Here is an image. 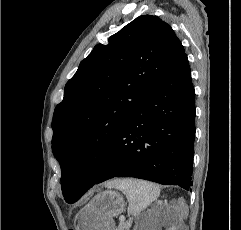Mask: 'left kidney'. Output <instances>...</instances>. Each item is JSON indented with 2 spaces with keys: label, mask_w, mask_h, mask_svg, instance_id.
Instances as JSON below:
<instances>
[{
  "label": "left kidney",
  "mask_w": 241,
  "mask_h": 230,
  "mask_svg": "<svg viewBox=\"0 0 241 230\" xmlns=\"http://www.w3.org/2000/svg\"><path fill=\"white\" fill-rule=\"evenodd\" d=\"M136 230H154V226L151 224H143L139 226Z\"/></svg>",
  "instance_id": "1"
}]
</instances>
